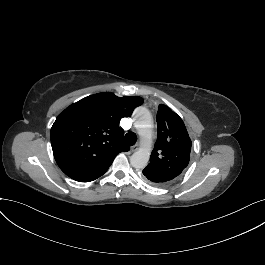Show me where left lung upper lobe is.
<instances>
[{"label":"left lung upper lobe","mask_w":265,"mask_h":265,"mask_svg":"<svg viewBox=\"0 0 265 265\" xmlns=\"http://www.w3.org/2000/svg\"><path fill=\"white\" fill-rule=\"evenodd\" d=\"M157 125V141L142 173L149 183L163 186L173 182L187 167L191 139L182 119L166 105L158 107Z\"/></svg>","instance_id":"1"}]
</instances>
